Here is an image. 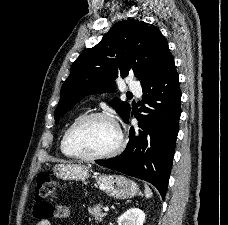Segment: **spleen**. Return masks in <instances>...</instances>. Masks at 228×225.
Segmentation results:
<instances>
[{
	"label": "spleen",
	"mask_w": 228,
	"mask_h": 225,
	"mask_svg": "<svg viewBox=\"0 0 228 225\" xmlns=\"http://www.w3.org/2000/svg\"><path fill=\"white\" fill-rule=\"evenodd\" d=\"M145 197L146 199H150V197H152L153 193L151 191V189H149L148 185H145Z\"/></svg>",
	"instance_id": "1"
}]
</instances>
